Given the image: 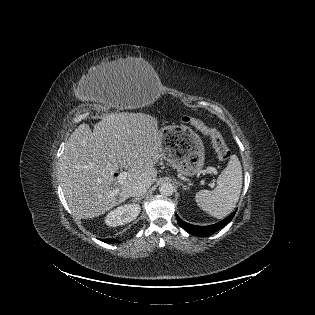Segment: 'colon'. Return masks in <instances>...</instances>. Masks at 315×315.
<instances>
[{"label":"colon","instance_id":"5ec220e1","mask_svg":"<svg viewBox=\"0 0 315 315\" xmlns=\"http://www.w3.org/2000/svg\"><path fill=\"white\" fill-rule=\"evenodd\" d=\"M183 121L210 138L216 156L220 161H225L230 157V149L228 148L223 136L218 130L208 127L204 122L195 117L185 116L183 117Z\"/></svg>","mask_w":315,"mask_h":315}]
</instances>
